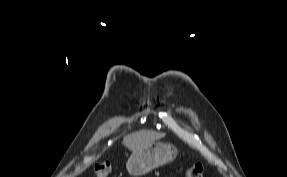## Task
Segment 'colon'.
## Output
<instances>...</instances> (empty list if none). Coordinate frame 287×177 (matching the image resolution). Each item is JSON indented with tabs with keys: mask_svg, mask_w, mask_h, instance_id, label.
<instances>
[{
	"mask_svg": "<svg viewBox=\"0 0 287 177\" xmlns=\"http://www.w3.org/2000/svg\"><path fill=\"white\" fill-rule=\"evenodd\" d=\"M111 170V164L109 162H100L96 164L94 168L96 177H109ZM204 169L199 163L193 164L186 168L185 177H203Z\"/></svg>",
	"mask_w": 287,
	"mask_h": 177,
	"instance_id": "1",
	"label": "colon"
}]
</instances>
